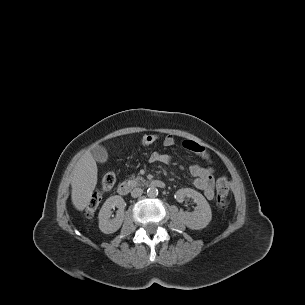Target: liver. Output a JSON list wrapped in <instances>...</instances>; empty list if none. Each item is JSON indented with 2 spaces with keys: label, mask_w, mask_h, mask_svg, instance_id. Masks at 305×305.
Here are the masks:
<instances>
[{
  "label": "liver",
  "mask_w": 305,
  "mask_h": 305,
  "mask_svg": "<svg viewBox=\"0 0 305 305\" xmlns=\"http://www.w3.org/2000/svg\"><path fill=\"white\" fill-rule=\"evenodd\" d=\"M97 164L90 151H85L71 173V198L74 207L83 211L97 184Z\"/></svg>",
  "instance_id": "obj_1"
}]
</instances>
